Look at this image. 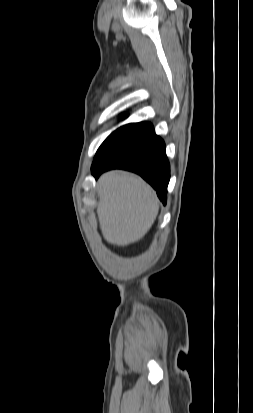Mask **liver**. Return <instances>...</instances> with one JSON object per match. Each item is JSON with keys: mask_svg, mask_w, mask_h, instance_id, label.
<instances>
[{"mask_svg": "<svg viewBox=\"0 0 253 413\" xmlns=\"http://www.w3.org/2000/svg\"><path fill=\"white\" fill-rule=\"evenodd\" d=\"M97 214L104 239L126 246L142 239L159 211L155 191L139 176L114 170L98 180Z\"/></svg>", "mask_w": 253, "mask_h": 413, "instance_id": "liver-1", "label": "liver"}]
</instances>
